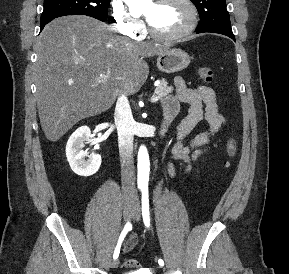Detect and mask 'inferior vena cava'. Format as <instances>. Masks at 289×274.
Masks as SVG:
<instances>
[{
    "instance_id": "602c4592",
    "label": "inferior vena cava",
    "mask_w": 289,
    "mask_h": 274,
    "mask_svg": "<svg viewBox=\"0 0 289 274\" xmlns=\"http://www.w3.org/2000/svg\"><path fill=\"white\" fill-rule=\"evenodd\" d=\"M115 124L118 131V145L121 162V180L124 195L135 194L133 137L134 119L128 98L122 94L116 102Z\"/></svg>"
}]
</instances>
